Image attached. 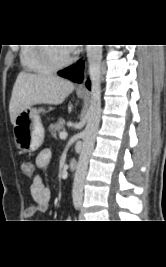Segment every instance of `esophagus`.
<instances>
[{"label": "esophagus", "instance_id": "obj_1", "mask_svg": "<svg viewBox=\"0 0 166 267\" xmlns=\"http://www.w3.org/2000/svg\"><path fill=\"white\" fill-rule=\"evenodd\" d=\"M77 90H79V91H85V90H86L85 79L83 80L82 83H80V84L77 86Z\"/></svg>", "mask_w": 166, "mask_h": 267}]
</instances>
